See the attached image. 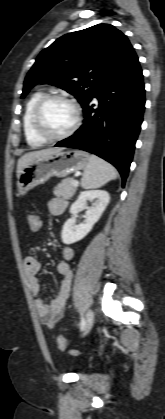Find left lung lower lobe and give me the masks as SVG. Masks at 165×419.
<instances>
[{
    "mask_svg": "<svg viewBox=\"0 0 165 419\" xmlns=\"http://www.w3.org/2000/svg\"><path fill=\"white\" fill-rule=\"evenodd\" d=\"M144 94L142 70L134 52L101 82L83 107V125L55 146L81 149L105 159L118 169L124 186L143 121ZM93 98L98 100L97 107Z\"/></svg>",
    "mask_w": 165,
    "mask_h": 419,
    "instance_id": "1",
    "label": "left lung lower lobe"
}]
</instances>
